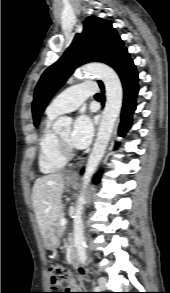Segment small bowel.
I'll use <instances>...</instances> for the list:
<instances>
[{
    "instance_id": "c3829d8e",
    "label": "small bowel",
    "mask_w": 170,
    "mask_h": 293,
    "mask_svg": "<svg viewBox=\"0 0 170 293\" xmlns=\"http://www.w3.org/2000/svg\"><path fill=\"white\" fill-rule=\"evenodd\" d=\"M81 274L83 275L84 273L81 272ZM70 284H71L73 287H76V282H75L73 279L70 281Z\"/></svg>"
}]
</instances>
